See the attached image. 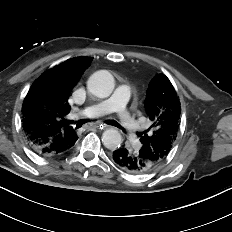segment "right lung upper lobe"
Returning <instances> with one entry per match:
<instances>
[{
	"mask_svg": "<svg viewBox=\"0 0 232 232\" xmlns=\"http://www.w3.org/2000/svg\"><path fill=\"white\" fill-rule=\"evenodd\" d=\"M93 58L75 57L43 73L29 89L22 106V127L29 143L41 148L77 137L64 118L68 98Z\"/></svg>",
	"mask_w": 232,
	"mask_h": 232,
	"instance_id": "obj_1",
	"label": "right lung upper lobe"
}]
</instances>
